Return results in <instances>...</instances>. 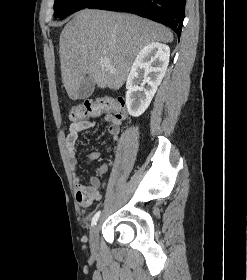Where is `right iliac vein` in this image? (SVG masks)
<instances>
[{
  "label": "right iliac vein",
  "mask_w": 247,
  "mask_h": 280,
  "mask_svg": "<svg viewBox=\"0 0 247 280\" xmlns=\"http://www.w3.org/2000/svg\"><path fill=\"white\" fill-rule=\"evenodd\" d=\"M98 233H99V226L95 224V226H93V228L90 231V238H89L90 247L93 252L97 251L98 249Z\"/></svg>",
  "instance_id": "63e3f726"
}]
</instances>
